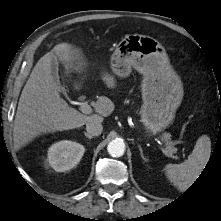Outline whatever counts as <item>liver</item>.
<instances>
[{"instance_id": "6515ba94", "label": "liver", "mask_w": 221, "mask_h": 221, "mask_svg": "<svg viewBox=\"0 0 221 221\" xmlns=\"http://www.w3.org/2000/svg\"><path fill=\"white\" fill-rule=\"evenodd\" d=\"M53 59L60 61L67 72L82 71L86 65L81 50L68 43L57 44L38 60L19 99L13 127L16 148L41 134L79 128L94 120L102 122L103 117L109 116L115 108L105 96L98 98L94 104L97 114L91 116L69 107L60 97L51 74ZM102 80L108 88H115V79L110 74H104Z\"/></svg>"}]
</instances>
